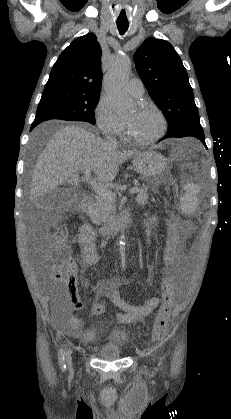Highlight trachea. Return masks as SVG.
Instances as JSON below:
<instances>
[{
    "label": "trachea",
    "instance_id": "3493384b",
    "mask_svg": "<svg viewBox=\"0 0 231 419\" xmlns=\"http://www.w3.org/2000/svg\"><path fill=\"white\" fill-rule=\"evenodd\" d=\"M128 27H129L128 22H117V28L121 35H123L128 30Z\"/></svg>",
    "mask_w": 231,
    "mask_h": 419
}]
</instances>
